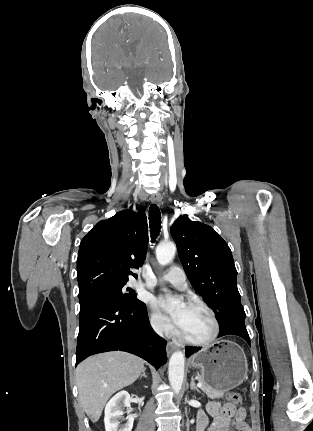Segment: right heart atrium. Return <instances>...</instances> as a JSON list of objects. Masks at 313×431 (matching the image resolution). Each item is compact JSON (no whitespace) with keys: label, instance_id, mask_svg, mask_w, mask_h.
Here are the masks:
<instances>
[{"label":"right heart atrium","instance_id":"right-heart-atrium-1","mask_svg":"<svg viewBox=\"0 0 313 431\" xmlns=\"http://www.w3.org/2000/svg\"><path fill=\"white\" fill-rule=\"evenodd\" d=\"M151 328L158 334L165 335L172 332L171 326L167 321L158 313H151L150 318Z\"/></svg>","mask_w":313,"mask_h":431}]
</instances>
